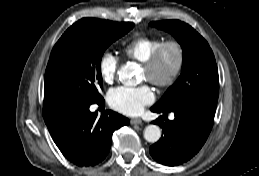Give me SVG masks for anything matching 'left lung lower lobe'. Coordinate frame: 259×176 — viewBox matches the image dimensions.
I'll list each match as a JSON object with an SVG mask.
<instances>
[{"label": "left lung lower lobe", "mask_w": 259, "mask_h": 176, "mask_svg": "<svg viewBox=\"0 0 259 176\" xmlns=\"http://www.w3.org/2000/svg\"><path fill=\"white\" fill-rule=\"evenodd\" d=\"M215 110L200 104H186L170 111L153 106L151 111L163 113L153 123L158 124L163 135L150 147L157 162L176 166L191 159L202 148L213 126ZM173 112L175 119H166Z\"/></svg>", "instance_id": "left-lung-lower-lobe-1"}]
</instances>
